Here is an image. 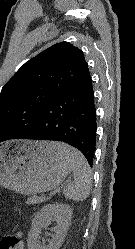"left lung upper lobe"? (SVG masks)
Here are the masks:
<instances>
[{"mask_svg": "<svg viewBox=\"0 0 135 249\" xmlns=\"http://www.w3.org/2000/svg\"><path fill=\"white\" fill-rule=\"evenodd\" d=\"M89 75L83 52L69 42L26 62L0 93V142L30 132L46 106Z\"/></svg>", "mask_w": 135, "mask_h": 249, "instance_id": "5c2ea615", "label": "left lung upper lobe"}]
</instances>
